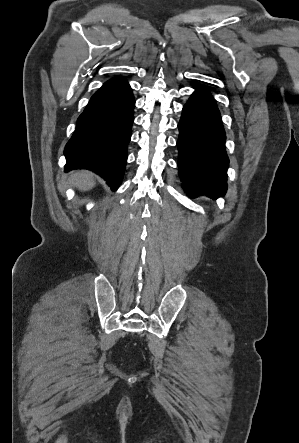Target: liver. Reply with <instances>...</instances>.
<instances>
[{"mask_svg":"<svg viewBox=\"0 0 299 443\" xmlns=\"http://www.w3.org/2000/svg\"><path fill=\"white\" fill-rule=\"evenodd\" d=\"M71 184L81 191L90 190L95 185L93 173L87 170H77L70 174Z\"/></svg>","mask_w":299,"mask_h":443,"instance_id":"obj_1","label":"liver"}]
</instances>
